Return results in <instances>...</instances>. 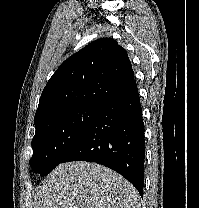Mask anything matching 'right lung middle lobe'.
<instances>
[{"label":"right lung middle lobe","instance_id":"right-lung-middle-lobe-1","mask_svg":"<svg viewBox=\"0 0 199 208\" xmlns=\"http://www.w3.org/2000/svg\"><path fill=\"white\" fill-rule=\"evenodd\" d=\"M99 106H82L55 114L35 125L33 156L29 161L34 172L47 175L73 149L95 116Z\"/></svg>","mask_w":199,"mask_h":208}]
</instances>
